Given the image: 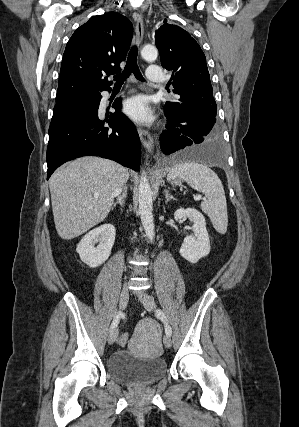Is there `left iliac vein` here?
<instances>
[{"label": "left iliac vein", "instance_id": "left-iliac-vein-1", "mask_svg": "<svg viewBox=\"0 0 299 427\" xmlns=\"http://www.w3.org/2000/svg\"><path fill=\"white\" fill-rule=\"evenodd\" d=\"M138 298L147 311L151 312L155 309V307H156L155 301L150 295L142 292V293L138 294ZM163 343H164L165 347L170 348L172 346V340H171L170 336L165 335L163 338Z\"/></svg>", "mask_w": 299, "mask_h": 427}]
</instances>
